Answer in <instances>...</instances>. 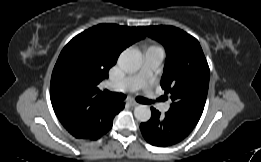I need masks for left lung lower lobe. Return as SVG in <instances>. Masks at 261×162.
Here are the masks:
<instances>
[{
  "instance_id": "1",
  "label": "left lung lower lobe",
  "mask_w": 261,
  "mask_h": 162,
  "mask_svg": "<svg viewBox=\"0 0 261 162\" xmlns=\"http://www.w3.org/2000/svg\"><path fill=\"white\" fill-rule=\"evenodd\" d=\"M152 116L146 123H141L140 130L146 141L154 146L174 145L186 138L195 127L188 118L166 112L164 116L151 107Z\"/></svg>"
}]
</instances>
